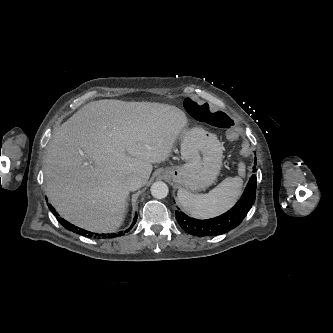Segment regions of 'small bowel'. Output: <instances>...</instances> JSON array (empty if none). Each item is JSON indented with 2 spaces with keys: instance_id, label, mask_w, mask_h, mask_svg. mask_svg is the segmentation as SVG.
Here are the masks:
<instances>
[{
  "instance_id": "obj_1",
  "label": "small bowel",
  "mask_w": 333,
  "mask_h": 333,
  "mask_svg": "<svg viewBox=\"0 0 333 333\" xmlns=\"http://www.w3.org/2000/svg\"><path fill=\"white\" fill-rule=\"evenodd\" d=\"M237 138H238V135H237L236 131H234L232 129L225 131V133L223 135L224 141L229 144L236 142ZM240 153L243 156H248L251 153V145L248 142H243L240 145Z\"/></svg>"
}]
</instances>
